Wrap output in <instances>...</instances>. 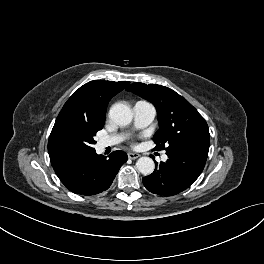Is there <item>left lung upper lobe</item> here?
I'll return each mask as SVG.
<instances>
[{
  "label": "left lung upper lobe",
  "mask_w": 264,
  "mask_h": 264,
  "mask_svg": "<svg viewBox=\"0 0 264 264\" xmlns=\"http://www.w3.org/2000/svg\"><path fill=\"white\" fill-rule=\"evenodd\" d=\"M126 90L152 102L157 109L159 130L153 137L155 150L165 149L167 153L188 148L208 156V125L186 99L172 89L156 84L133 83Z\"/></svg>",
  "instance_id": "obj_1"
}]
</instances>
